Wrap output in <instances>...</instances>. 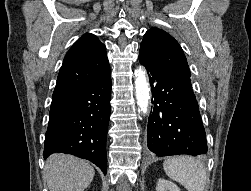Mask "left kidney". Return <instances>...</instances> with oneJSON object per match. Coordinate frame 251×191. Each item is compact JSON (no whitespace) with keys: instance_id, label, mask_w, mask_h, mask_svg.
<instances>
[{"instance_id":"obj_1","label":"left kidney","mask_w":251,"mask_h":191,"mask_svg":"<svg viewBox=\"0 0 251 191\" xmlns=\"http://www.w3.org/2000/svg\"><path fill=\"white\" fill-rule=\"evenodd\" d=\"M156 191H180V187L172 181H167V179H162L159 177L156 185Z\"/></svg>"}]
</instances>
